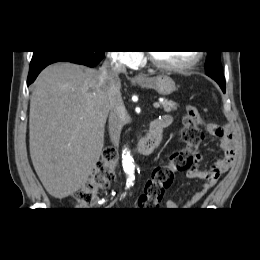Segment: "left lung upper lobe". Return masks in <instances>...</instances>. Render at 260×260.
Returning <instances> with one entry per match:
<instances>
[{
    "instance_id": "left-lung-upper-lobe-1",
    "label": "left lung upper lobe",
    "mask_w": 260,
    "mask_h": 260,
    "mask_svg": "<svg viewBox=\"0 0 260 260\" xmlns=\"http://www.w3.org/2000/svg\"><path fill=\"white\" fill-rule=\"evenodd\" d=\"M207 59L205 67L208 73H222V65L220 63V51H207Z\"/></svg>"
}]
</instances>
